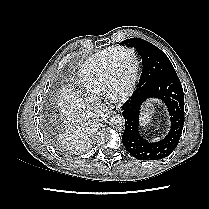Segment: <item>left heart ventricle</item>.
<instances>
[{
	"label": "left heart ventricle",
	"instance_id": "left-heart-ventricle-1",
	"mask_svg": "<svg viewBox=\"0 0 209 209\" xmlns=\"http://www.w3.org/2000/svg\"><path fill=\"white\" fill-rule=\"evenodd\" d=\"M133 56L130 52H120L114 59L112 85L114 90L121 91L127 87L133 76Z\"/></svg>",
	"mask_w": 209,
	"mask_h": 209
}]
</instances>
